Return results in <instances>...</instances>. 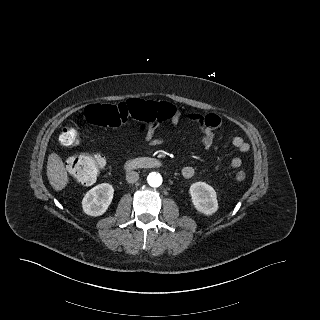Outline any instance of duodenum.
<instances>
[{
    "label": "duodenum",
    "instance_id": "410a0bca",
    "mask_svg": "<svg viewBox=\"0 0 320 320\" xmlns=\"http://www.w3.org/2000/svg\"><path fill=\"white\" fill-rule=\"evenodd\" d=\"M127 169H150L159 168L162 166V162L156 158H135L126 163Z\"/></svg>",
    "mask_w": 320,
    "mask_h": 320
}]
</instances>
